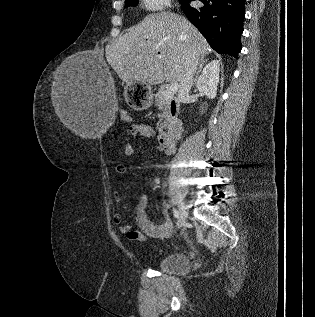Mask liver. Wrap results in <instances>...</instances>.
<instances>
[{"label":"liver","instance_id":"6515ba94","mask_svg":"<svg viewBox=\"0 0 315 317\" xmlns=\"http://www.w3.org/2000/svg\"><path fill=\"white\" fill-rule=\"evenodd\" d=\"M210 46L185 17L161 12L147 15L119 41L106 48V59L124 82L139 81L157 85L166 81H180L187 61L200 58ZM71 63L65 61L62 67ZM62 122L75 134L82 133L80 124L57 110Z\"/></svg>","mask_w":315,"mask_h":317}]
</instances>
